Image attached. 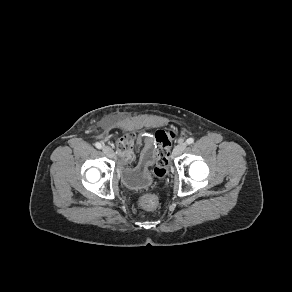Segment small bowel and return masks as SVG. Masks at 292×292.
<instances>
[{"mask_svg":"<svg viewBox=\"0 0 292 292\" xmlns=\"http://www.w3.org/2000/svg\"><path fill=\"white\" fill-rule=\"evenodd\" d=\"M157 142L155 135L144 133L137 140V147H133V141L120 140L117 146V154L123 166H131L137 159L136 167L142 166L144 169L150 168L157 156Z\"/></svg>","mask_w":292,"mask_h":292,"instance_id":"1","label":"small bowel"}]
</instances>
